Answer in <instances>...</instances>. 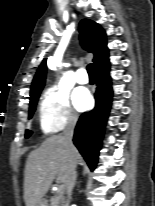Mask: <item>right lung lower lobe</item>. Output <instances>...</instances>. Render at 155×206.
<instances>
[{"label": "right lung lower lobe", "instance_id": "98d812e1", "mask_svg": "<svg viewBox=\"0 0 155 206\" xmlns=\"http://www.w3.org/2000/svg\"><path fill=\"white\" fill-rule=\"evenodd\" d=\"M109 71V62L97 69L95 108L81 115L73 139L75 146L91 170L95 169L98 161L104 128L112 102V87Z\"/></svg>", "mask_w": 155, "mask_h": 206}]
</instances>
